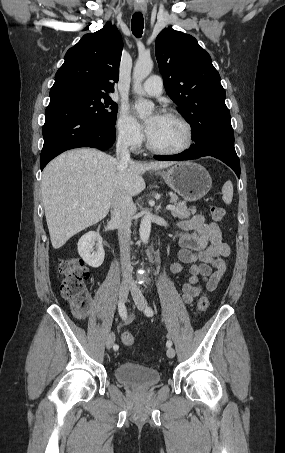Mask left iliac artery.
Instances as JSON below:
<instances>
[{"label":"left iliac artery","instance_id":"left-iliac-artery-1","mask_svg":"<svg viewBox=\"0 0 285 453\" xmlns=\"http://www.w3.org/2000/svg\"><path fill=\"white\" fill-rule=\"evenodd\" d=\"M145 314L148 316V317H151L153 316L154 312L152 310L151 307H146L145 308ZM166 346L167 347H171L172 346V341L171 340H168L167 343H166Z\"/></svg>","mask_w":285,"mask_h":453}]
</instances>
